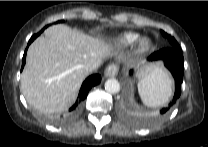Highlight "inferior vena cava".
<instances>
[{"label": "inferior vena cava", "mask_w": 208, "mask_h": 147, "mask_svg": "<svg viewBox=\"0 0 208 147\" xmlns=\"http://www.w3.org/2000/svg\"><path fill=\"white\" fill-rule=\"evenodd\" d=\"M93 70H95V66L94 65L88 64V65L85 66V71L87 73L92 72Z\"/></svg>", "instance_id": "602c4592"}]
</instances>
